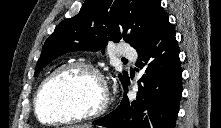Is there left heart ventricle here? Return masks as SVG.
I'll use <instances>...</instances> for the list:
<instances>
[{
	"mask_svg": "<svg viewBox=\"0 0 221 128\" xmlns=\"http://www.w3.org/2000/svg\"><path fill=\"white\" fill-rule=\"evenodd\" d=\"M101 97L96 78L77 69L53 79L44 89L39 110L46 120L66 117L92 109Z\"/></svg>",
	"mask_w": 221,
	"mask_h": 128,
	"instance_id": "obj_1",
	"label": "left heart ventricle"
}]
</instances>
